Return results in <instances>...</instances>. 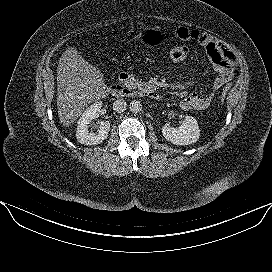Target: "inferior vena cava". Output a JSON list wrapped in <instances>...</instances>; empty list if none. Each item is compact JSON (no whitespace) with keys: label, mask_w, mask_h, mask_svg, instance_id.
I'll list each match as a JSON object with an SVG mask.
<instances>
[{"label":"inferior vena cava","mask_w":272,"mask_h":272,"mask_svg":"<svg viewBox=\"0 0 272 272\" xmlns=\"http://www.w3.org/2000/svg\"><path fill=\"white\" fill-rule=\"evenodd\" d=\"M127 104L123 99H118L113 103V110L117 113H121L126 110Z\"/></svg>","instance_id":"602c4592"}]
</instances>
